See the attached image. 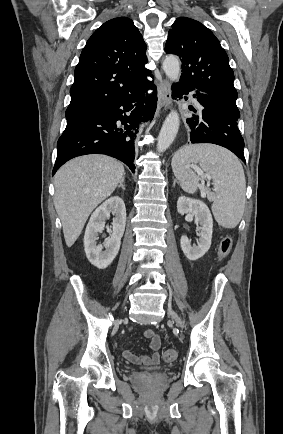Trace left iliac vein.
Segmentation results:
<instances>
[{
    "label": "left iliac vein",
    "mask_w": 283,
    "mask_h": 434,
    "mask_svg": "<svg viewBox=\"0 0 283 434\" xmlns=\"http://www.w3.org/2000/svg\"><path fill=\"white\" fill-rule=\"evenodd\" d=\"M167 314L168 316L174 320L176 322V324L180 327V328H184V323L182 321V319L177 315L176 312H174L171 308L167 309Z\"/></svg>",
    "instance_id": "left-iliac-vein-1"
}]
</instances>
